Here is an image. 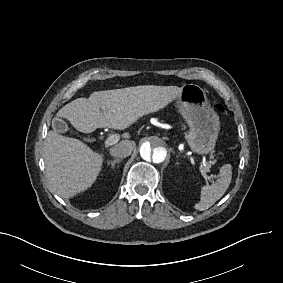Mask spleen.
<instances>
[{"mask_svg": "<svg viewBox=\"0 0 283 283\" xmlns=\"http://www.w3.org/2000/svg\"><path fill=\"white\" fill-rule=\"evenodd\" d=\"M232 179V167L225 164L220 169L219 178L212 185L202 187L200 202L195 205V209L204 211L210 208L219 200L228 189Z\"/></svg>", "mask_w": 283, "mask_h": 283, "instance_id": "3e777b00", "label": "spleen"}]
</instances>
